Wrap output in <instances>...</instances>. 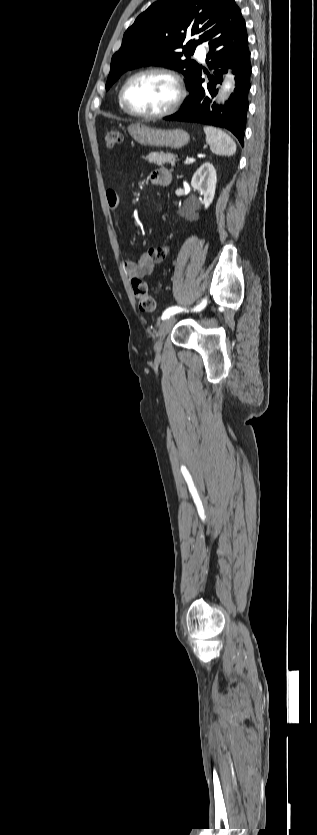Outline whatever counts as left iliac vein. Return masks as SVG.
Wrapping results in <instances>:
<instances>
[{"label":"left iliac vein","mask_w":317,"mask_h":835,"mask_svg":"<svg viewBox=\"0 0 317 835\" xmlns=\"http://www.w3.org/2000/svg\"><path fill=\"white\" fill-rule=\"evenodd\" d=\"M174 323H175V318L174 317L167 318L161 323L159 331H158V335H157V340H156V343H155V346H154V349L157 353L160 352V350L162 348V345H163V342H164L167 334L171 330Z\"/></svg>","instance_id":"1"}]
</instances>
